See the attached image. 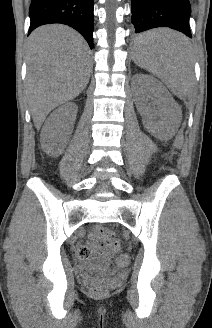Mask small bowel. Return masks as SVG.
Returning <instances> with one entry per match:
<instances>
[{"label":"small bowel","mask_w":212,"mask_h":328,"mask_svg":"<svg viewBox=\"0 0 212 328\" xmlns=\"http://www.w3.org/2000/svg\"><path fill=\"white\" fill-rule=\"evenodd\" d=\"M92 238H93L92 243L89 244L88 246L81 248L80 252L83 251L87 254V256H89L93 251H98V252H101V254L104 258L112 257L114 249H112L111 247H109L110 249L104 248V245L102 243H100L98 240V232L97 231L93 232Z\"/></svg>","instance_id":"c3829d8e"}]
</instances>
